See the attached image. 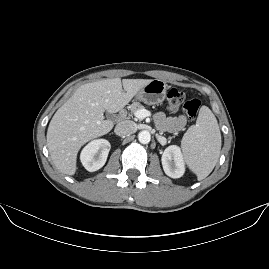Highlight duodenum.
Wrapping results in <instances>:
<instances>
[{"label": "duodenum", "mask_w": 269, "mask_h": 269, "mask_svg": "<svg viewBox=\"0 0 269 269\" xmlns=\"http://www.w3.org/2000/svg\"><path fill=\"white\" fill-rule=\"evenodd\" d=\"M124 114H125L124 110H121V111L118 113V118H119V119L123 118V117H124Z\"/></svg>", "instance_id": "410a0bca"}]
</instances>
